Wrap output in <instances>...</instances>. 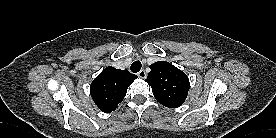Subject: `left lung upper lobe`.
<instances>
[{
	"label": "left lung upper lobe",
	"instance_id": "1",
	"mask_svg": "<svg viewBox=\"0 0 276 138\" xmlns=\"http://www.w3.org/2000/svg\"><path fill=\"white\" fill-rule=\"evenodd\" d=\"M150 69L145 81L151 86L156 100L169 108L181 106L189 90L186 74L166 61L156 62Z\"/></svg>",
	"mask_w": 276,
	"mask_h": 138
}]
</instances>
